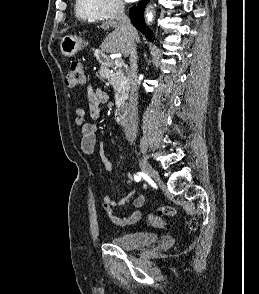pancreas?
I'll return each mask as SVG.
<instances>
[{"label":"pancreas","instance_id":"pancreas-1","mask_svg":"<svg viewBox=\"0 0 259 294\" xmlns=\"http://www.w3.org/2000/svg\"><path fill=\"white\" fill-rule=\"evenodd\" d=\"M100 74L113 86L116 104L122 105L128 97L129 78L124 74L123 70L118 68H114L113 71L110 72L107 65L101 66Z\"/></svg>","mask_w":259,"mask_h":294}]
</instances>
